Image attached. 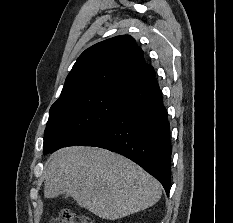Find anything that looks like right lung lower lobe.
<instances>
[{"mask_svg": "<svg viewBox=\"0 0 233 223\" xmlns=\"http://www.w3.org/2000/svg\"><path fill=\"white\" fill-rule=\"evenodd\" d=\"M121 100L120 112L78 145L105 148L131 159L159 180L168 195L170 126L156 78L124 89Z\"/></svg>", "mask_w": 233, "mask_h": 223, "instance_id": "obj_1", "label": "right lung lower lobe"}]
</instances>
